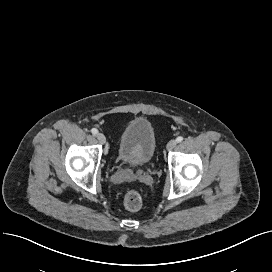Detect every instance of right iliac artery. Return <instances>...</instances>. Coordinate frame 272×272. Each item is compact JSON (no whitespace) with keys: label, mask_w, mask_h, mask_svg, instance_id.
I'll return each mask as SVG.
<instances>
[{"label":"right iliac artery","mask_w":272,"mask_h":272,"mask_svg":"<svg viewBox=\"0 0 272 272\" xmlns=\"http://www.w3.org/2000/svg\"><path fill=\"white\" fill-rule=\"evenodd\" d=\"M91 132H92V134H97V133H98V130L95 129V128H93V129H91Z\"/></svg>","instance_id":"right-iliac-artery-1"}]
</instances>
